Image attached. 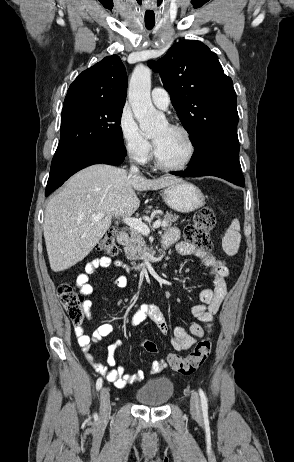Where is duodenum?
<instances>
[{
    "instance_id": "1",
    "label": "duodenum",
    "mask_w": 294,
    "mask_h": 462,
    "mask_svg": "<svg viewBox=\"0 0 294 462\" xmlns=\"http://www.w3.org/2000/svg\"><path fill=\"white\" fill-rule=\"evenodd\" d=\"M117 242L121 245L125 244L128 240V233L126 230L122 229L117 232L116 235ZM167 246L165 244L161 245V253L165 252ZM147 268V263H139L136 265V270H143Z\"/></svg>"
}]
</instances>
